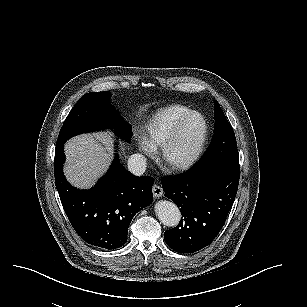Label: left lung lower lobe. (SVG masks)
<instances>
[{"label": "left lung lower lobe", "instance_id": "left-lung-lower-lobe-1", "mask_svg": "<svg viewBox=\"0 0 307 307\" xmlns=\"http://www.w3.org/2000/svg\"><path fill=\"white\" fill-rule=\"evenodd\" d=\"M239 166L195 165L184 174L162 179L165 196L180 208L179 225L164 233L178 253H193L210 245L224 225L237 194Z\"/></svg>", "mask_w": 307, "mask_h": 307}]
</instances>
